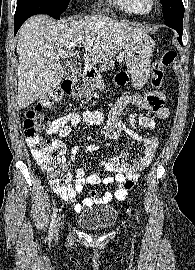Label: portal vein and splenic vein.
<instances>
[{"instance_id": "1", "label": "portal vein and splenic vein", "mask_w": 195, "mask_h": 270, "mask_svg": "<svg viewBox=\"0 0 195 270\" xmlns=\"http://www.w3.org/2000/svg\"><path fill=\"white\" fill-rule=\"evenodd\" d=\"M82 43H83V39H78V40H77V44H78V45H81Z\"/></svg>"}]
</instances>
